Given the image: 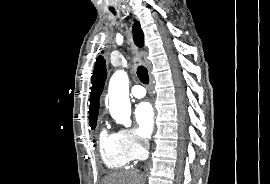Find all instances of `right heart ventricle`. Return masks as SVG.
Wrapping results in <instances>:
<instances>
[{
  "mask_svg": "<svg viewBox=\"0 0 270 184\" xmlns=\"http://www.w3.org/2000/svg\"><path fill=\"white\" fill-rule=\"evenodd\" d=\"M99 148L104 164L110 169L124 168L132 161L117 133L102 129L99 134Z\"/></svg>",
  "mask_w": 270,
  "mask_h": 184,
  "instance_id": "right-heart-ventricle-1",
  "label": "right heart ventricle"
}]
</instances>
